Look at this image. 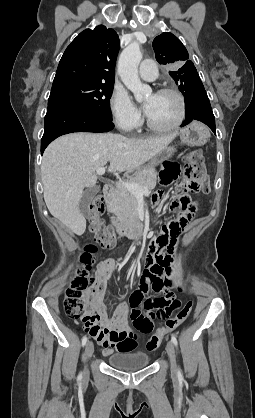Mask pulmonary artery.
Listing matches in <instances>:
<instances>
[{
    "mask_svg": "<svg viewBox=\"0 0 255 418\" xmlns=\"http://www.w3.org/2000/svg\"><path fill=\"white\" fill-rule=\"evenodd\" d=\"M158 74L157 66L153 60L146 59L142 61L139 67V75L142 79L153 81Z\"/></svg>",
    "mask_w": 255,
    "mask_h": 418,
    "instance_id": "obj_1",
    "label": "pulmonary artery"
}]
</instances>
